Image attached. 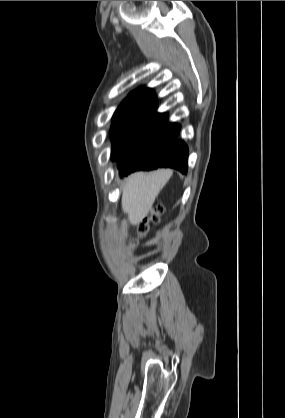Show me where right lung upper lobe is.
Segmentation results:
<instances>
[{
	"label": "right lung upper lobe",
	"instance_id": "obj_1",
	"mask_svg": "<svg viewBox=\"0 0 285 418\" xmlns=\"http://www.w3.org/2000/svg\"><path fill=\"white\" fill-rule=\"evenodd\" d=\"M156 95L150 88L142 87L132 92L122 104H141L157 108Z\"/></svg>",
	"mask_w": 285,
	"mask_h": 418
}]
</instances>
